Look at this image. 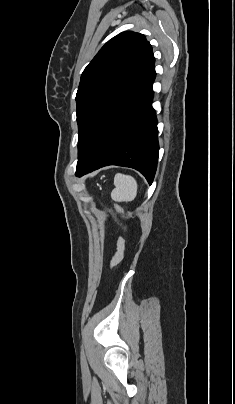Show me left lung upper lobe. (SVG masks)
I'll return each instance as SVG.
<instances>
[{
    "label": "left lung upper lobe",
    "mask_w": 235,
    "mask_h": 404,
    "mask_svg": "<svg viewBox=\"0 0 235 404\" xmlns=\"http://www.w3.org/2000/svg\"><path fill=\"white\" fill-rule=\"evenodd\" d=\"M145 36L126 31L108 41L85 68L76 94L78 159L110 115L155 72Z\"/></svg>",
    "instance_id": "5c2ea615"
}]
</instances>
